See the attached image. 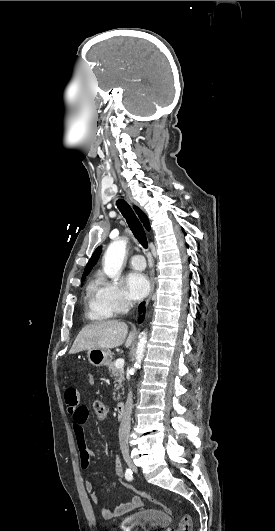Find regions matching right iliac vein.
Returning <instances> with one entry per match:
<instances>
[{"instance_id": "63e3f726", "label": "right iliac vein", "mask_w": 275, "mask_h": 531, "mask_svg": "<svg viewBox=\"0 0 275 531\" xmlns=\"http://www.w3.org/2000/svg\"><path fill=\"white\" fill-rule=\"evenodd\" d=\"M123 456H124V460H125L126 464L128 465V467H129L132 471L136 472L137 469H136L135 465L133 464V462H132V460H131L129 454L124 453Z\"/></svg>"}]
</instances>
